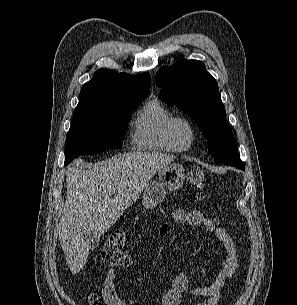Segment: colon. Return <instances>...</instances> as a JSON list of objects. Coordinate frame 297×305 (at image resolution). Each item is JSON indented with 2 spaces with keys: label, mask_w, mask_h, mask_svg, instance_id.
<instances>
[{
  "label": "colon",
  "mask_w": 297,
  "mask_h": 305,
  "mask_svg": "<svg viewBox=\"0 0 297 305\" xmlns=\"http://www.w3.org/2000/svg\"><path fill=\"white\" fill-rule=\"evenodd\" d=\"M189 182L196 188H202L205 185L204 172L200 168L192 169ZM102 259L107 266H117L127 260L126 235L123 231L117 230L109 234L102 249Z\"/></svg>",
  "instance_id": "colon-1"
}]
</instances>
